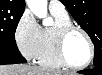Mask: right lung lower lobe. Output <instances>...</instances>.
I'll use <instances>...</instances> for the list:
<instances>
[{
	"label": "right lung lower lobe",
	"mask_w": 102,
	"mask_h": 75,
	"mask_svg": "<svg viewBox=\"0 0 102 75\" xmlns=\"http://www.w3.org/2000/svg\"><path fill=\"white\" fill-rule=\"evenodd\" d=\"M25 62L26 59L20 54L18 49H0V65Z\"/></svg>",
	"instance_id": "98d812e1"
}]
</instances>
